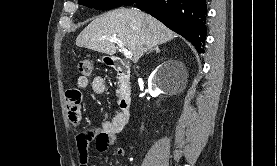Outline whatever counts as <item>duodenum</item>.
Instances as JSON below:
<instances>
[{
  "label": "duodenum",
  "mask_w": 277,
  "mask_h": 166,
  "mask_svg": "<svg viewBox=\"0 0 277 166\" xmlns=\"http://www.w3.org/2000/svg\"><path fill=\"white\" fill-rule=\"evenodd\" d=\"M110 65L115 71L117 77L123 84L121 97L119 101V116L124 124H127L131 116V95L128 90V82L130 77V70L128 66L119 58H113Z\"/></svg>",
  "instance_id": "410a0bca"
}]
</instances>
